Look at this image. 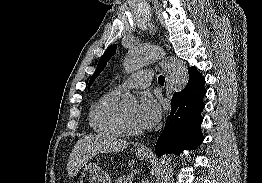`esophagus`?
<instances>
[{
    "label": "esophagus",
    "instance_id": "34e87169",
    "mask_svg": "<svg viewBox=\"0 0 262 183\" xmlns=\"http://www.w3.org/2000/svg\"><path fill=\"white\" fill-rule=\"evenodd\" d=\"M160 64H161V67H162L166 77H168L169 71H168V67H167V60L166 59H162ZM166 95H167V97L169 99L171 98V92H170V88H169L168 85H167V88H166ZM139 149L142 150V151H146V152L150 151L149 148L144 147V146H141Z\"/></svg>",
    "mask_w": 262,
    "mask_h": 183
}]
</instances>
